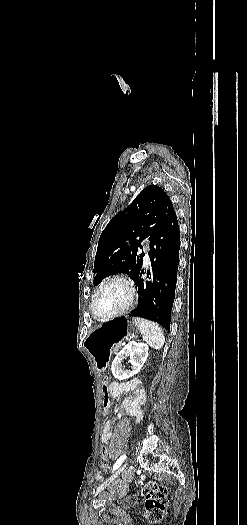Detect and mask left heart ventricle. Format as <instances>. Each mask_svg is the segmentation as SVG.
Returning a JSON list of instances; mask_svg holds the SVG:
<instances>
[{
    "label": "left heart ventricle",
    "mask_w": 247,
    "mask_h": 525,
    "mask_svg": "<svg viewBox=\"0 0 247 525\" xmlns=\"http://www.w3.org/2000/svg\"><path fill=\"white\" fill-rule=\"evenodd\" d=\"M129 297V289L121 282L104 285L95 299V307L102 313L113 311L122 306Z\"/></svg>",
    "instance_id": "obj_1"
}]
</instances>
